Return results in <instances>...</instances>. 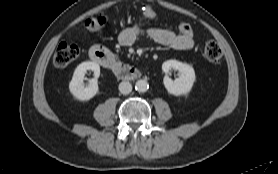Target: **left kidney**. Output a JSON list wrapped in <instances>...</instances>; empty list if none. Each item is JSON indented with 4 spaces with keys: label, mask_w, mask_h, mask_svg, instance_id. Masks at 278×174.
I'll list each match as a JSON object with an SVG mask.
<instances>
[{
    "label": "left kidney",
    "mask_w": 278,
    "mask_h": 174,
    "mask_svg": "<svg viewBox=\"0 0 278 174\" xmlns=\"http://www.w3.org/2000/svg\"><path fill=\"white\" fill-rule=\"evenodd\" d=\"M171 69L178 70L180 76L175 80L166 75L163 79L166 90L175 96L185 95L189 93L196 80L193 67L189 64L179 62L177 60H167L162 64V70L168 74Z\"/></svg>",
    "instance_id": "obj_1"
}]
</instances>
